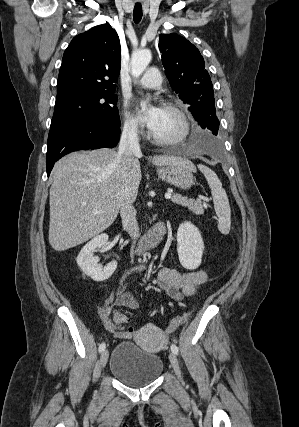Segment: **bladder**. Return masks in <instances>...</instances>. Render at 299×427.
Returning <instances> with one entry per match:
<instances>
[{"label":"bladder","mask_w":299,"mask_h":427,"mask_svg":"<svg viewBox=\"0 0 299 427\" xmlns=\"http://www.w3.org/2000/svg\"><path fill=\"white\" fill-rule=\"evenodd\" d=\"M110 372L129 387H143L157 380L163 372V361L157 354L144 350L129 340L115 347Z\"/></svg>","instance_id":"obj_1"}]
</instances>
